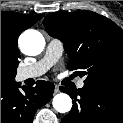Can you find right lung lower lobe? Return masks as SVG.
I'll list each match as a JSON object with an SVG mask.
<instances>
[{
    "instance_id": "right-lung-lower-lobe-1",
    "label": "right lung lower lobe",
    "mask_w": 123,
    "mask_h": 123,
    "mask_svg": "<svg viewBox=\"0 0 123 123\" xmlns=\"http://www.w3.org/2000/svg\"><path fill=\"white\" fill-rule=\"evenodd\" d=\"M20 83H1V123H32L37 109L45 105L53 96L54 84L37 81L35 87Z\"/></svg>"
}]
</instances>
